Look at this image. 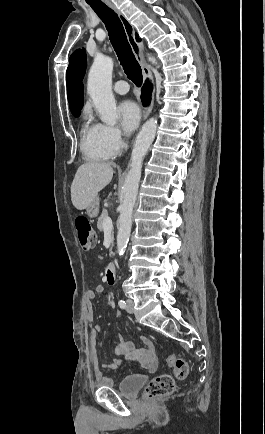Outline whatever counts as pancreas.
<instances>
[{"label":"pancreas","instance_id":"1","mask_svg":"<svg viewBox=\"0 0 265 434\" xmlns=\"http://www.w3.org/2000/svg\"><path fill=\"white\" fill-rule=\"evenodd\" d=\"M107 216H108L107 210H103L100 218H98L97 228H98V230H100V232H104L103 224H104V220H105V218H107Z\"/></svg>","mask_w":265,"mask_h":434}]
</instances>
